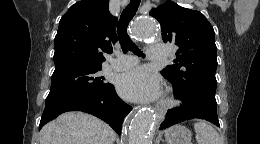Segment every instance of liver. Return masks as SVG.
<instances>
[{
  "label": "liver",
  "instance_id": "1",
  "mask_svg": "<svg viewBox=\"0 0 260 144\" xmlns=\"http://www.w3.org/2000/svg\"><path fill=\"white\" fill-rule=\"evenodd\" d=\"M115 136L109 125L94 116L67 112L42 128L40 144H113Z\"/></svg>",
  "mask_w": 260,
  "mask_h": 144
}]
</instances>
